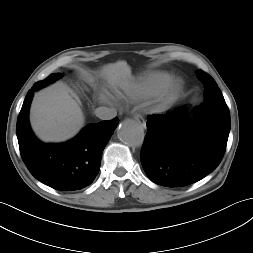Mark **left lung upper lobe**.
I'll list each match as a JSON object with an SVG mask.
<instances>
[{"label": "left lung upper lobe", "instance_id": "1", "mask_svg": "<svg viewBox=\"0 0 253 253\" xmlns=\"http://www.w3.org/2000/svg\"><path fill=\"white\" fill-rule=\"evenodd\" d=\"M197 77L200 81H202L204 85V95L206 98H214V99H223L224 97L218 88L214 79L203 71L199 70L197 72Z\"/></svg>", "mask_w": 253, "mask_h": 253}]
</instances>
